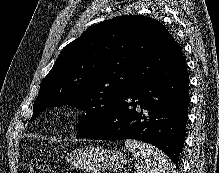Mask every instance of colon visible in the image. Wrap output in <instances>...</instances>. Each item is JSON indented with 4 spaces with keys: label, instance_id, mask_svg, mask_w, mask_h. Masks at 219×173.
Segmentation results:
<instances>
[{
    "label": "colon",
    "instance_id": "5ec220e1",
    "mask_svg": "<svg viewBox=\"0 0 219 173\" xmlns=\"http://www.w3.org/2000/svg\"><path fill=\"white\" fill-rule=\"evenodd\" d=\"M30 173H48L46 162L44 160H34L31 163Z\"/></svg>",
    "mask_w": 219,
    "mask_h": 173
}]
</instances>
